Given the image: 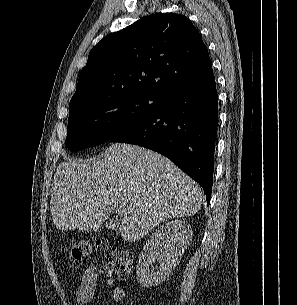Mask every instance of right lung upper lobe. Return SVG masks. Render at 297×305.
Masks as SVG:
<instances>
[{"mask_svg":"<svg viewBox=\"0 0 297 305\" xmlns=\"http://www.w3.org/2000/svg\"><path fill=\"white\" fill-rule=\"evenodd\" d=\"M211 66L208 50L188 18L175 13L147 16L93 47L69 112L120 93L162 95L208 79Z\"/></svg>","mask_w":297,"mask_h":305,"instance_id":"cb5924a9","label":"right lung upper lobe"}]
</instances>
